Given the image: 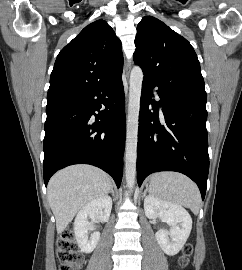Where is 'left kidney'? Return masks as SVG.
I'll return each instance as SVG.
<instances>
[{
    "label": "left kidney",
    "mask_w": 242,
    "mask_h": 270,
    "mask_svg": "<svg viewBox=\"0 0 242 270\" xmlns=\"http://www.w3.org/2000/svg\"><path fill=\"white\" fill-rule=\"evenodd\" d=\"M145 215L150 219L159 218L171 226L170 230L159 229L156 240L169 256L176 255L186 243L191 229L192 218L182 206L147 196L144 200Z\"/></svg>",
    "instance_id": "5707ae66"
}]
</instances>
